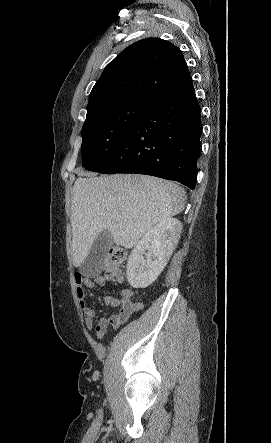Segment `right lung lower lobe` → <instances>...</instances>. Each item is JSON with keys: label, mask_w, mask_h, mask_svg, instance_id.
<instances>
[{"label": "right lung lower lobe", "mask_w": 271, "mask_h": 443, "mask_svg": "<svg viewBox=\"0 0 271 443\" xmlns=\"http://www.w3.org/2000/svg\"><path fill=\"white\" fill-rule=\"evenodd\" d=\"M201 132V109L191 86L153 101L94 172L152 175L194 189Z\"/></svg>", "instance_id": "1"}]
</instances>
